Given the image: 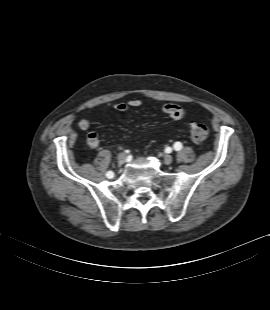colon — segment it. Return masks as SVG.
Listing matches in <instances>:
<instances>
[{"label": "colon", "instance_id": "colon-1", "mask_svg": "<svg viewBox=\"0 0 270 310\" xmlns=\"http://www.w3.org/2000/svg\"><path fill=\"white\" fill-rule=\"evenodd\" d=\"M190 133L193 141L200 143L206 140L208 128L204 124L194 123L191 125Z\"/></svg>", "mask_w": 270, "mask_h": 310}]
</instances>
